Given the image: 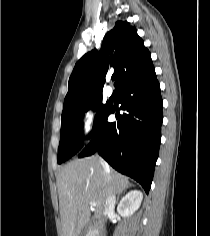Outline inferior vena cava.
<instances>
[{"instance_id": "602c4592", "label": "inferior vena cava", "mask_w": 210, "mask_h": 236, "mask_svg": "<svg viewBox=\"0 0 210 236\" xmlns=\"http://www.w3.org/2000/svg\"><path fill=\"white\" fill-rule=\"evenodd\" d=\"M99 162L102 165V167H105V161L102 158H99ZM115 204H116V197L115 195H109L106 198L105 201V206H104V210H103V215L104 217H107L110 214L114 213V209H115ZM105 235V232H104Z\"/></svg>"}]
</instances>
